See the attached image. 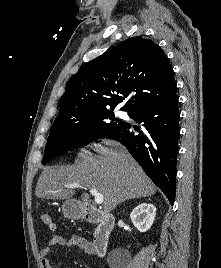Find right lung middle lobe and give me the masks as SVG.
I'll use <instances>...</instances> for the list:
<instances>
[{"label":"right lung middle lobe","mask_w":221,"mask_h":268,"mask_svg":"<svg viewBox=\"0 0 221 268\" xmlns=\"http://www.w3.org/2000/svg\"><path fill=\"white\" fill-rule=\"evenodd\" d=\"M108 120H112L108 122ZM125 122L114 118L113 111L86 114L75 118L55 119L45 148L42 164L68 150L106 138Z\"/></svg>","instance_id":"obj_1"}]
</instances>
